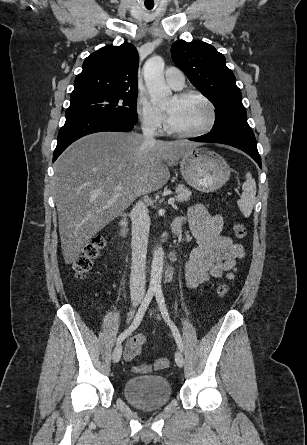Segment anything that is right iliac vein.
<instances>
[{
  "instance_id": "right-iliac-vein-1",
  "label": "right iliac vein",
  "mask_w": 307,
  "mask_h": 445,
  "mask_svg": "<svg viewBox=\"0 0 307 445\" xmlns=\"http://www.w3.org/2000/svg\"><path fill=\"white\" fill-rule=\"evenodd\" d=\"M139 304H140V299H134V300H133V306H134V307H137ZM121 355H122V345H121V344H118V345L115 347V349H114V351H113V354H112L113 362H114V363H117V362L120 360Z\"/></svg>"
}]
</instances>
